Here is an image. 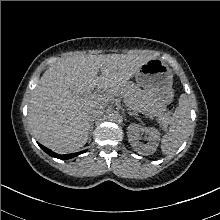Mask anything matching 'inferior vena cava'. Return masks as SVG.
Here are the masks:
<instances>
[{
    "label": "inferior vena cava",
    "mask_w": 220,
    "mask_h": 220,
    "mask_svg": "<svg viewBox=\"0 0 220 220\" xmlns=\"http://www.w3.org/2000/svg\"><path fill=\"white\" fill-rule=\"evenodd\" d=\"M105 111V107L104 106H98L95 107L91 112H90V121H95L98 118H100Z\"/></svg>",
    "instance_id": "602c4592"
}]
</instances>
